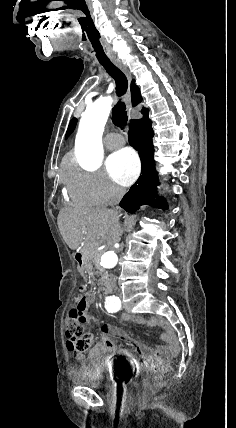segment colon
Returning <instances> with one entry per match:
<instances>
[{
  "instance_id": "1",
  "label": "colon",
  "mask_w": 236,
  "mask_h": 428,
  "mask_svg": "<svg viewBox=\"0 0 236 428\" xmlns=\"http://www.w3.org/2000/svg\"><path fill=\"white\" fill-rule=\"evenodd\" d=\"M75 306L70 310L66 322L68 348L75 351H86L92 345V337L84 332V324L88 321L89 297L86 289L81 287L75 298ZM163 378V373H153L141 379V388L145 392L154 390Z\"/></svg>"
}]
</instances>
